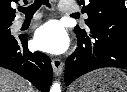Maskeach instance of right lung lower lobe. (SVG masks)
<instances>
[{
	"mask_svg": "<svg viewBox=\"0 0 127 92\" xmlns=\"http://www.w3.org/2000/svg\"><path fill=\"white\" fill-rule=\"evenodd\" d=\"M0 66L23 76L40 91H49L52 82L51 61L41 52H30L26 36H0Z\"/></svg>",
	"mask_w": 127,
	"mask_h": 92,
	"instance_id": "obj_1",
	"label": "right lung lower lobe"
}]
</instances>
